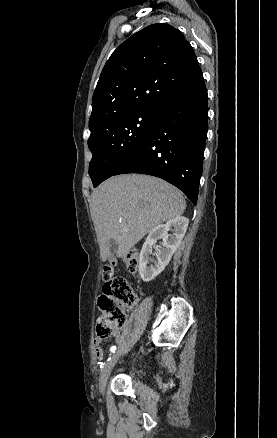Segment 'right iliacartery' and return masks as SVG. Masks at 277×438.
I'll return each mask as SVG.
<instances>
[{"label": "right iliac artery", "instance_id": "1", "mask_svg": "<svg viewBox=\"0 0 277 438\" xmlns=\"http://www.w3.org/2000/svg\"><path fill=\"white\" fill-rule=\"evenodd\" d=\"M116 351V346H112L110 349L111 354L114 353Z\"/></svg>", "mask_w": 277, "mask_h": 438}]
</instances>
